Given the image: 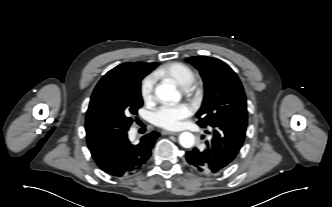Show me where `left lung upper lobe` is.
<instances>
[{
  "instance_id": "left-lung-upper-lobe-1",
  "label": "left lung upper lobe",
  "mask_w": 332,
  "mask_h": 207,
  "mask_svg": "<svg viewBox=\"0 0 332 207\" xmlns=\"http://www.w3.org/2000/svg\"><path fill=\"white\" fill-rule=\"evenodd\" d=\"M186 61L200 71L204 81V100L196 114L198 125L202 128L229 124L246 127V97L235 72L213 57L194 56Z\"/></svg>"
}]
</instances>
